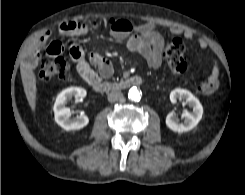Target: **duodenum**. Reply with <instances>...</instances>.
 Here are the masks:
<instances>
[{"instance_id":"410a0bca","label":"duodenum","mask_w":245,"mask_h":195,"mask_svg":"<svg viewBox=\"0 0 245 195\" xmlns=\"http://www.w3.org/2000/svg\"><path fill=\"white\" fill-rule=\"evenodd\" d=\"M141 84L142 78L140 76H132L118 82L98 81L93 84V88L98 92H110L139 86Z\"/></svg>"}]
</instances>
